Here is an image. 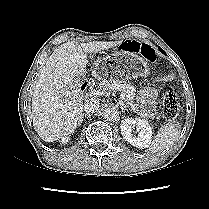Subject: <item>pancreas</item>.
Returning a JSON list of instances; mask_svg holds the SVG:
<instances>
[{
  "instance_id": "1",
  "label": "pancreas",
  "mask_w": 209,
  "mask_h": 209,
  "mask_svg": "<svg viewBox=\"0 0 209 209\" xmlns=\"http://www.w3.org/2000/svg\"><path fill=\"white\" fill-rule=\"evenodd\" d=\"M105 89L117 90L125 93L128 107L141 117L155 118V115L145 109L139 110L137 104L134 102L136 89L131 84L123 81L109 80L102 84ZM159 119V116L156 117Z\"/></svg>"
}]
</instances>
